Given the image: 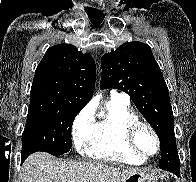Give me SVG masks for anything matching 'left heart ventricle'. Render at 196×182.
Here are the masks:
<instances>
[{
  "instance_id": "1",
  "label": "left heart ventricle",
  "mask_w": 196,
  "mask_h": 182,
  "mask_svg": "<svg viewBox=\"0 0 196 182\" xmlns=\"http://www.w3.org/2000/svg\"><path fill=\"white\" fill-rule=\"evenodd\" d=\"M137 143L140 149L147 153L152 154L156 150V141L147 129H142L137 136Z\"/></svg>"
}]
</instances>
